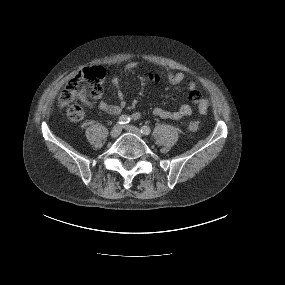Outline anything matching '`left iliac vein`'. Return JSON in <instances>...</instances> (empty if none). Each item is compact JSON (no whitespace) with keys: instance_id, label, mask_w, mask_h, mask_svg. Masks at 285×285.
<instances>
[{"instance_id":"left-iliac-vein-1","label":"left iliac vein","mask_w":285,"mask_h":285,"mask_svg":"<svg viewBox=\"0 0 285 285\" xmlns=\"http://www.w3.org/2000/svg\"><path fill=\"white\" fill-rule=\"evenodd\" d=\"M124 128L128 132L133 133L139 137H142V133L137 127L132 126V125H126Z\"/></svg>"}]
</instances>
